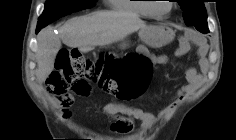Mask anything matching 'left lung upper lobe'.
<instances>
[{"instance_id": "5c2ea615", "label": "left lung upper lobe", "mask_w": 236, "mask_h": 140, "mask_svg": "<svg viewBox=\"0 0 236 140\" xmlns=\"http://www.w3.org/2000/svg\"><path fill=\"white\" fill-rule=\"evenodd\" d=\"M183 10V18L188 26L202 32L208 33L207 13L204 7V0H176Z\"/></svg>"}]
</instances>
